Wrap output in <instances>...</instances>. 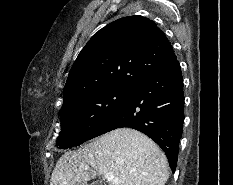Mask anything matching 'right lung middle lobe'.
Listing matches in <instances>:
<instances>
[{"label": "right lung middle lobe", "instance_id": "dd1d6c3e", "mask_svg": "<svg viewBox=\"0 0 233 185\" xmlns=\"http://www.w3.org/2000/svg\"><path fill=\"white\" fill-rule=\"evenodd\" d=\"M128 94L129 89H104L81 96L62 106V126L57 145L66 149L89 140Z\"/></svg>", "mask_w": 233, "mask_h": 185}]
</instances>
